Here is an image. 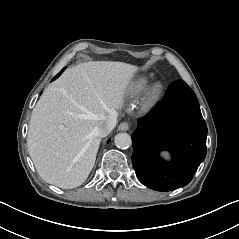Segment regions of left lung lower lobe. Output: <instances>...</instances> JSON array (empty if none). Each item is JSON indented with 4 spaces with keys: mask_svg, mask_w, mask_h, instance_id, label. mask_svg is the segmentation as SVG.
Returning <instances> with one entry per match:
<instances>
[{
    "mask_svg": "<svg viewBox=\"0 0 239 239\" xmlns=\"http://www.w3.org/2000/svg\"><path fill=\"white\" fill-rule=\"evenodd\" d=\"M137 124L132 163L140 182L157 191L187 185L206 157L207 126L186 82L172 83L165 102ZM162 150L171 152L170 162L159 156Z\"/></svg>",
    "mask_w": 239,
    "mask_h": 239,
    "instance_id": "left-lung-lower-lobe-1",
    "label": "left lung lower lobe"
}]
</instances>
